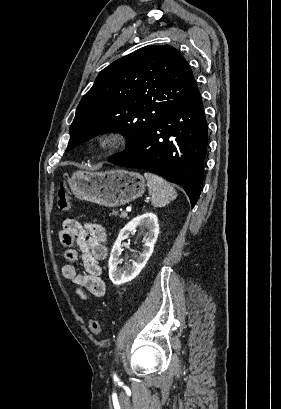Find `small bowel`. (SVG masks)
Instances as JSON below:
<instances>
[{
  "label": "small bowel",
  "mask_w": 281,
  "mask_h": 409,
  "mask_svg": "<svg viewBox=\"0 0 281 409\" xmlns=\"http://www.w3.org/2000/svg\"><path fill=\"white\" fill-rule=\"evenodd\" d=\"M58 235L60 242L66 247L64 258L68 262L62 267L63 276L75 284V291L82 299H87L88 294L95 297L104 296L107 287L101 277V261L107 256V247L103 227L67 218L63 221ZM79 253L84 267L83 273L73 265Z\"/></svg>",
  "instance_id": "small-bowel-1"
}]
</instances>
